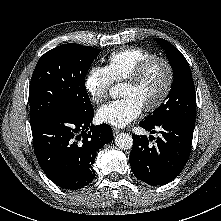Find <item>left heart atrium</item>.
Returning <instances> with one entry per match:
<instances>
[{
	"label": "left heart atrium",
	"instance_id": "obj_1",
	"mask_svg": "<svg viewBox=\"0 0 221 221\" xmlns=\"http://www.w3.org/2000/svg\"><path fill=\"white\" fill-rule=\"evenodd\" d=\"M142 108L136 99L126 96L102 106L97 116L102 122L115 127H123L138 118Z\"/></svg>",
	"mask_w": 221,
	"mask_h": 221
}]
</instances>
